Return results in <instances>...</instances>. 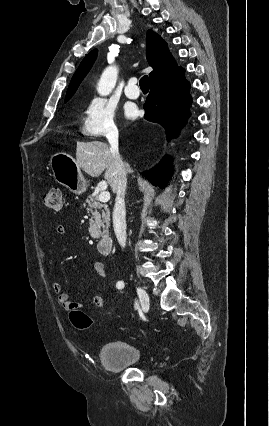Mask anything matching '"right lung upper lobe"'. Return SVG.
<instances>
[{"label": "right lung upper lobe", "instance_id": "right-lung-upper-lobe-1", "mask_svg": "<svg viewBox=\"0 0 269 426\" xmlns=\"http://www.w3.org/2000/svg\"><path fill=\"white\" fill-rule=\"evenodd\" d=\"M146 56L149 65L153 68L150 75V83L167 75L177 68L174 58L170 54L166 42L154 31L148 30L146 35ZM97 57V50H92L81 62L74 73L68 87L66 98L77 90L80 82L89 72Z\"/></svg>", "mask_w": 269, "mask_h": 426}]
</instances>
